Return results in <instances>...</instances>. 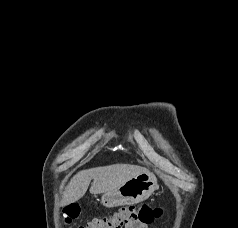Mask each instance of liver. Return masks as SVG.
Listing matches in <instances>:
<instances>
[{
  "label": "liver",
  "instance_id": "6515ba94",
  "mask_svg": "<svg viewBox=\"0 0 238 228\" xmlns=\"http://www.w3.org/2000/svg\"><path fill=\"white\" fill-rule=\"evenodd\" d=\"M148 172L144 167L130 164H114L104 167L82 170L78 172L67 185L62 197V205H68L82 198L91 180V194L112 192L128 180Z\"/></svg>",
  "mask_w": 238,
  "mask_h": 228
}]
</instances>
